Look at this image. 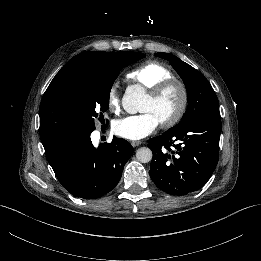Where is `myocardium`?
<instances>
[{
    "instance_id": "f54148a6",
    "label": "myocardium",
    "mask_w": 261,
    "mask_h": 261,
    "mask_svg": "<svg viewBox=\"0 0 261 261\" xmlns=\"http://www.w3.org/2000/svg\"><path fill=\"white\" fill-rule=\"evenodd\" d=\"M173 89H177L180 92V104L176 112L170 118L160 122L163 128H170L174 126L181 120V118L185 114L189 101L187 87L182 81L176 78H171L157 84L148 95L151 100L157 101L162 98L167 92Z\"/></svg>"
}]
</instances>
